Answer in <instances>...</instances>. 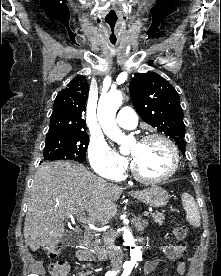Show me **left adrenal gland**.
I'll return each mask as SVG.
<instances>
[{"label": "left adrenal gland", "mask_w": 221, "mask_h": 276, "mask_svg": "<svg viewBox=\"0 0 221 276\" xmlns=\"http://www.w3.org/2000/svg\"><path fill=\"white\" fill-rule=\"evenodd\" d=\"M135 226H136V228H137L138 231L142 232L148 226V221L147 220H143L141 218V215H138Z\"/></svg>", "instance_id": "1"}]
</instances>
